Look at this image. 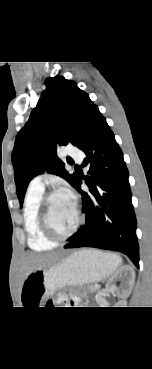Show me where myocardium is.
Masks as SVG:
<instances>
[{"label":"myocardium","instance_id":"obj_1","mask_svg":"<svg viewBox=\"0 0 152 369\" xmlns=\"http://www.w3.org/2000/svg\"><path fill=\"white\" fill-rule=\"evenodd\" d=\"M61 191H51L48 192L47 194L43 195L41 202H40V213H39V221H40V226L41 229L43 231V233L45 234V236L54 242H62L67 240L68 238L72 237L81 227L83 221H84V215L82 214V211L79 207V204L76 200L75 197L72 196L74 205H75V209H76V214H77V220L75 225L73 226V228L66 234H59L57 233L50 221V201L51 199L57 195L60 194Z\"/></svg>","mask_w":152,"mask_h":369}]
</instances>
